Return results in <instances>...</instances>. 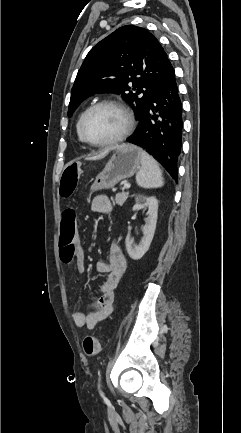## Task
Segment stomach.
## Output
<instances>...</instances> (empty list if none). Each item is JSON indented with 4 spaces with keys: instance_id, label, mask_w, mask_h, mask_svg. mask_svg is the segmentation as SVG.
I'll list each match as a JSON object with an SVG mask.
<instances>
[{
    "instance_id": "1",
    "label": "stomach",
    "mask_w": 241,
    "mask_h": 433,
    "mask_svg": "<svg viewBox=\"0 0 241 433\" xmlns=\"http://www.w3.org/2000/svg\"><path fill=\"white\" fill-rule=\"evenodd\" d=\"M141 149L135 145H124L116 150L91 186V191L113 188L121 180L133 176L140 168Z\"/></svg>"
}]
</instances>
